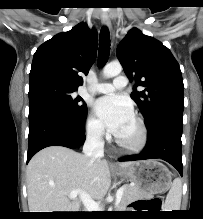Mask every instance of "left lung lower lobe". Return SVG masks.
Listing matches in <instances>:
<instances>
[{"label":"left lung lower lobe","mask_w":203,"mask_h":219,"mask_svg":"<svg viewBox=\"0 0 203 219\" xmlns=\"http://www.w3.org/2000/svg\"><path fill=\"white\" fill-rule=\"evenodd\" d=\"M182 128L183 114H170L156 121L148 128L147 144L144 150L119 161H135L160 158L173 165L182 175Z\"/></svg>","instance_id":"1"}]
</instances>
